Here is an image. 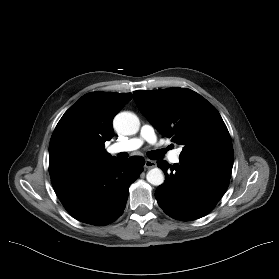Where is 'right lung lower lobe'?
Segmentation results:
<instances>
[{
    "mask_svg": "<svg viewBox=\"0 0 279 279\" xmlns=\"http://www.w3.org/2000/svg\"><path fill=\"white\" fill-rule=\"evenodd\" d=\"M145 160L112 158L90 168L51 179L57 197L78 221L106 225L122 215L129 186L143 171Z\"/></svg>",
    "mask_w": 279,
    "mask_h": 279,
    "instance_id": "right-lung-lower-lobe-1",
    "label": "right lung lower lobe"
}]
</instances>
